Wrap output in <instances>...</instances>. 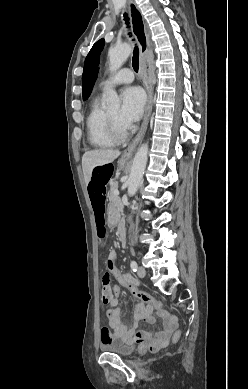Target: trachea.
<instances>
[{"label": "trachea", "mask_w": 248, "mask_h": 389, "mask_svg": "<svg viewBox=\"0 0 248 389\" xmlns=\"http://www.w3.org/2000/svg\"><path fill=\"white\" fill-rule=\"evenodd\" d=\"M124 20H125L126 24L128 25L129 18H128V15L126 13L124 14ZM132 66H133L134 71L138 72V69H139V50H138L137 46H135L134 51H133Z\"/></svg>", "instance_id": "trachea-1"}]
</instances>
